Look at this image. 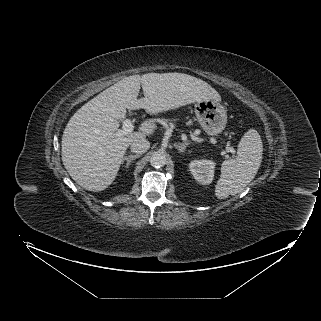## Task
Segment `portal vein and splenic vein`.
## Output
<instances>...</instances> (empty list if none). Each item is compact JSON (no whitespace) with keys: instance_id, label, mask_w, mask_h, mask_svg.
Wrapping results in <instances>:
<instances>
[{"instance_id":"1","label":"portal vein and splenic vein","mask_w":321,"mask_h":321,"mask_svg":"<svg viewBox=\"0 0 321 321\" xmlns=\"http://www.w3.org/2000/svg\"><path fill=\"white\" fill-rule=\"evenodd\" d=\"M133 129H134V122L129 119H125L122 122V130H119L117 133L120 135H124V134L131 133ZM227 149L231 153L234 152V149L232 147H227Z\"/></svg>"}]
</instances>
